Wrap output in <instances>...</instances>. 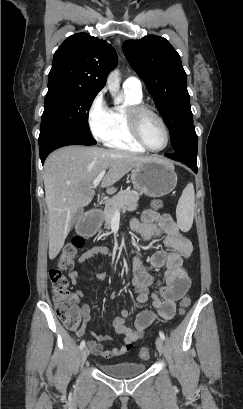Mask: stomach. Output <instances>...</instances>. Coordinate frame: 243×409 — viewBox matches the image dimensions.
<instances>
[{
  "mask_svg": "<svg viewBox=\"0 0 243 409\" xmlns=\"http://www.w3.org/2000/svg\"><path fill=\"white\" fill-rule=\"evenodd\" d=\"M131 182L140 195L162 197L169 194L177 185L174 166L166 160L152 157L133 168ZM96 224L95 230L99 228Z\"/></svg>",
  "mask_w": 243,
  "mask_h": 409,
  "instance_id": "1",
  "label": "stomach"
}]
</instances>
